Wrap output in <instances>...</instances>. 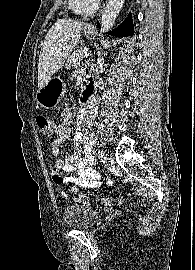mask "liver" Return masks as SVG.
I'll return each instance as SVG.
<instances>
[{"label": "liver", "mask_w": 195, "mask_h": 270, "mask_svg": "<svg viewBox=\"0 0 195 270\" xmlns=\"http://www.w3.org/2000/svg\"><path fill=\"white\" fill-rule=\"evenodd\" d=\"M83 26L82 22L63 18L49 29L39 55V89L64 65L80 39Z\"/></svg>", "instance_id": "liver-1"}]
</instances>
